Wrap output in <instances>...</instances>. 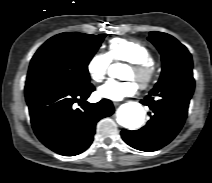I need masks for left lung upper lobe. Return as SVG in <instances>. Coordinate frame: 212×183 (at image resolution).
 <instances>
[{
	"label": "left lung upper lobe",
	"mask_w": 212,
	"mask_h": 183,
	"mask_svg": "<svg viewBox=\"0 0 212 183\" xmlns=\"http://www.w3.org/2000/svg\"><path fill=\"white\" fill-rule=\"evenodd\" d=\"M148 40L162 56V74L156 85L193 68L192 57L187 48L173 36L162 32H150Z\"/></svg>",
	"instance_id": "left-lung-upper-lobe-1"
}]
</instances>
